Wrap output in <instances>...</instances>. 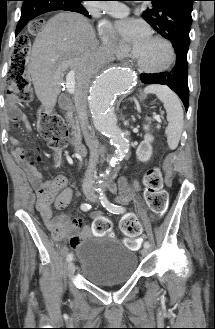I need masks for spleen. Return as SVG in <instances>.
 <instances>
[{"mask_svg": "<svg viewBox=\"0 0 215 329\" xmlns=\"http://www.w3.org/2000/svg\"><path fill=\"white\" fill-rule=\"evenodd\" d=\"M145 94H155L163 103L167 113V141L170 149L177 148L184 125L183 109L178 96L167 86L150 85L144 89Z\"/></svg>", "mask_w": 215, "mask_h": 329, "instance_id": "1", "label": "spleen"}]
</instances>
